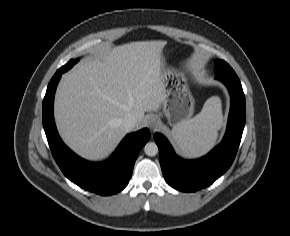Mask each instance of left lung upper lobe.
I'll return each instance as SVG.
<instances>
[{"label": "left lung upper lobe", "mask_w": 290, "mask_h": 236, "mask_svg": "<svg viewBox=\"0 0 290 236\" xmlns=\"http://www.w3.org/2000/svg\"><path fill=\"white\" fill-rule=\"evenodd\" d=\"M215 72L220 73H232L234 70L223 60H215Z\"/></svg>", "instance_id": "obj_1"}]
</instances>
